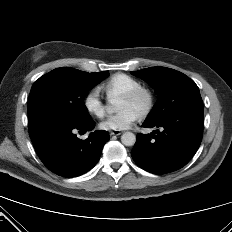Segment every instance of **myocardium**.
I'll return each mask as SVG.
<instances>
[{
    "label": "myocardium",
    "instance_id": "f54148a6",
    "mask_svg": "<svg viewBox=\"0 0 232 232\" xmlns=\"http://www.w3.org/2000/svg\"><path fill=\"white\" fill-rule=\"evenodd\" d=\"M128 101H138L143 99L144 103L140 109L139 115L141 117L147 116L153 109L155 98L153 92L144 86L138 87L130 92H127L121 96Z\"/></svg>",
    "mask_w": 232,
    "mask_h": 232
}]
</instances>
